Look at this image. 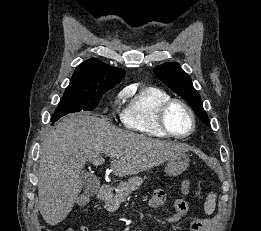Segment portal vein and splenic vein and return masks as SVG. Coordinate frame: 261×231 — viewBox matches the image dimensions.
I'll use <instances>...</instances> for the list:
<instances>
[{"mask_svg":"<svg viewBox=\"0 0 261 231\" xmlns=\"http://www.w3.org/2000/svg\"><path fill=\"white\" fill-rule=\"evenodd\" d=\"M108 156H114L115 153H107Z\"/></svg>","mask_w":261,"mask_h":231,"instance_id":"obj_1","label":"portal vein and splenic vein"}]
</instances>
